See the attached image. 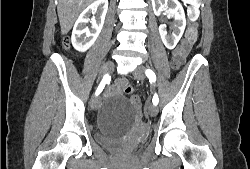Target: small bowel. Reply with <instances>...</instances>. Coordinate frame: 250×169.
Listing matches in <instances>:
<instances>
[{
	"label": "small bowel",
	"mask_w": 250,
	"mask_h": 169,
	"mask_svg": "<svg viewBox=\"0 0 250 169\" xmlns=\"http://www.w3.org/2000/svg\"><path fill=\"white\" fill-rule=\"evenodd\" d=\"M191 43L192 42L186 41L174 51L173 57H175L178 60L179 64H181L184 58L187 56L189 49L191 47ZM125 85H127V81L123 78H118L115 81V84L109 90V95H116L119 92V90H121V88Z\"/></svg>",
	"instance_id": "small-bowel-1"
}]
</instances>
